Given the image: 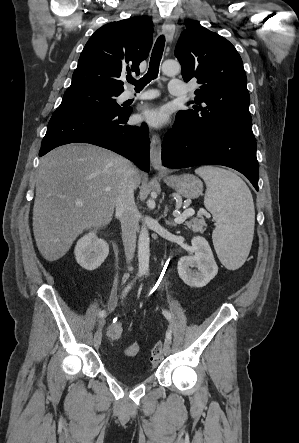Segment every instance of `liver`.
Wrapping results in <instances>:
<instances>
[{
	"mask_svg": "<svg viewBox=\"0 0 299 443\" xmlns=\"http://www.w3.org/2000/svg\"><path fill=\"white\" fill-rule=\"evenodd\" d=\"M130 167L124 157L84 144L60 146L40 159L33 232L46 260L60 259L84 230L111 221L121 178ZM134 170L137 187L141 175Z\"/></svg>",
	"mask_w": 299,
	"mask_h": 443,
	"instance_id": "obj_1",
	"label": "liver"
}]
</instances>
